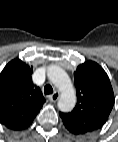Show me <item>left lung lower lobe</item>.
<instances>
[{"label":"left lung lower lobe","mask_w":118,"mask_h":142,"mask_svg":"<svg viewBox=\"0 0 118 142\" xmlns=\"http://www.w3.org/2000/svg\"><path fill=\"white\" fill-rule=\"evenodd\" d=\"M71 133H74V134H78V133H76L75 131H73V129H70V128H68V127H66Z\"/></svg>","instance_id":"0a47b994"}]
</instances>
